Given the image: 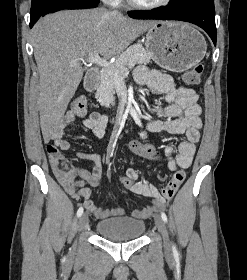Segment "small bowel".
<instances>
[{
    "label": "small bowel",
    "mask_w": 247,
    "mask_h": 280,
    "mask_svg": "<svg viewBox=\"0 0 247 280\" xmlns=\"http://www.w3.org/2000/svg\"><path fill=\"white\" fill-rule=\"evenodd\" d=\"M135 80L140 85H146L151 90L162 94L167 102L164 108L154 109L155 119L148 121L143 128L139 130L140 139H148L152 132L166 130L174 134H184L186 139L180 142L176 148L177 156H174L175 148L168 145L165 150L167 166L171 171L186 169L190 167L195 150L196 143L200 137V128L202 122L200 119L201 106L198 103V96L193 89L178 86L173 79L162 74L159 71H149L145 67H138L135 71ZM75 115L72 112L66 113L56 128L52 131L50 139L54 146L62 150H68L70 143L64 138L66 128L74 121ZM108 124V117L99 112L91 113L82 121L84 128L91 130L95 136L103 137ZM76 158L81 160H91L95 163L92 171L76 167L74 175L70 179L59 178L64 189L76 199H80L85 208L98 219H106L113 216H123V208L104 209L95 205L91 199V190L87 186L100 187L102 166L100 157L96 154L84 152L76 153ZM133 181V186L127 188L136 195H141L152 199L153 203L142 209H134L131 216L136 219H142L149 216L154 209L162 205L165 200L158 189L149 181H138V172L129 168L126 175Z\"/></svg>",
    "instance_id": "1"
}]
</instances>
